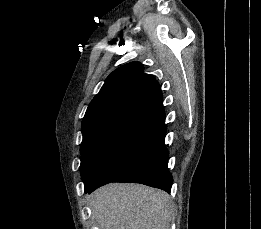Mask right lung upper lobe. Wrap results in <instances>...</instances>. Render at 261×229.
<instances>
[{
	"label": "right lung upper lobe",
	"mask_w": 261,
	"mask_h": 229,
	"mask_svg": "<svg viewBox=\"0 0 261 229\" xmlns=\"http://www.w3.org/2000/svg\"><path fill=\"white\" fill-rule=\"evenodd\" d=\"M165 122L160 85L137 62L112 72L91 101L82 121L81 146L131 148L138 130Z\"/></svg>",
	"instance_id": "1"
}]
</instances>
